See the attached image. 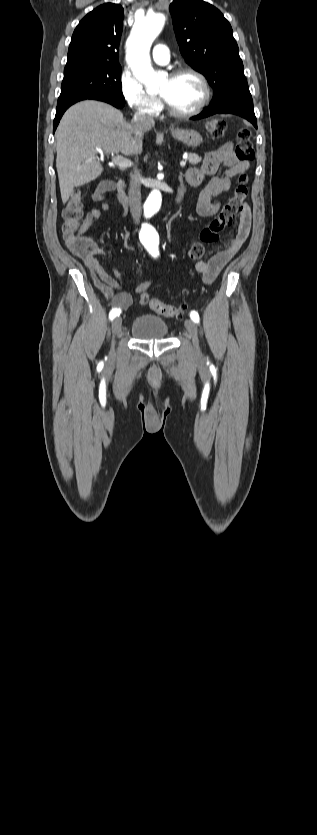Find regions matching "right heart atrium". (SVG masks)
Masks as SVG:
<instances>
[{
	"label": "right heart atrium",
	"instance_id": "obj_1",
	"mask_svg": "<svg viewBox=\"0 0 317 835\" xmlns=\"http://www.w3.org/2000/svg\"><path fill=\"white\" fill-rule=\"evenodd\" d=\"M119 82L121 95L133 111L147 117H154L160 113L161 101L156 96L148 94L134 75L123 71Z\"/></svg>",
	"mask_w": 317,
	"mask_h": 835
}]
</instances>
